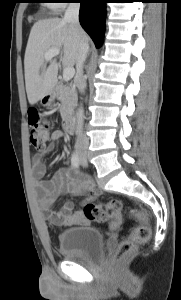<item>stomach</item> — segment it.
<instances>
[{
  "mask_svg": "<svg viewBox=\"0 0 181 300\" xmlns=\"http://www.w3.org/2000/svg\"><path fill=\"white\" fill-rule=\"evenodd\" d=\"M56 97H57L56 90H52L51 92L47 93L41 98V103L44 106H49L53 103Z\"/></svg>",
  "mask_w": 181,
  "mask_h": 300,
  "instance_id": "1",
  "label": "stomach"
}]
</instances>
